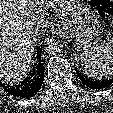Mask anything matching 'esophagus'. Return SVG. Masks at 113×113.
<instances>
[{
  "label": "esophagus",
  "mask_w": 113,
  "mask_h": 113,
  "mask_svg": "<svg viewBox=\"0 0 113 113\" xmlns=\"http://www.w3.org/2000/svg\"><path fill=\"white\" fill-rule=\"evenodd\" d=\"M57 33L59 34V36L67 39L69 38V32H68V25L67 24H60V25H57Z\"/></svg>",
  "instance_id": "esophagus-1"
}]
</instances>
